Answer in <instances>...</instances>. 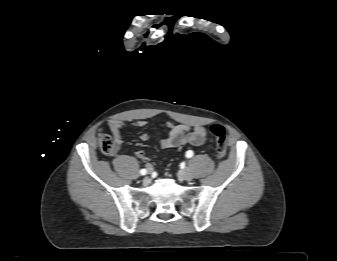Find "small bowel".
<instances>
[{
	"instance_id": "small-bowel-1",
	"label": "small bowel",
	"mask_w": 337,
	"mask_h": 261,
	"mask_svg": "<svg viewBox=\"0 0 337 261\" xmlns=\"http://www.w3.org/2000/svg\"><path fill=\"white\" fill-rule=\"evenodd\" d=\"M133 127L142 128L147 125L145 120H137L131 123ZM108 126L114 136L117 148L122 144L121 130L125 126V123L120 120H110ZM168 133L166 136L158 140L159 145L162 148H181L186 144H190L196 147H203L208 140V133L203 126H189L185 124H173L167 123ZM140 139L144 142L152 140L149 134L143 133ZM136 157L146 162V167L150 170L153 169L154 161L147 157L143 150H139L135 153Z\"/></svg>"
}]
</instances>
